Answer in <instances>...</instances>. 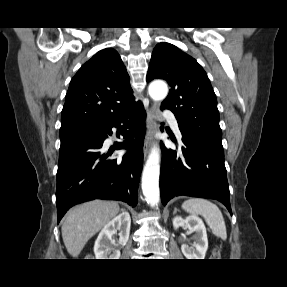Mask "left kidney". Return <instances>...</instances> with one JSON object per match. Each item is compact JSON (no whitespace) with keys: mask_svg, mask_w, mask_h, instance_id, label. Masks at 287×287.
<instances>
[{"mask_svg":"<svg viewBox=\"0 0 287 287\" xmlns=\"http://www.w3.org/2000/svg\"><path fill=\"white\" fill-rule=\"evenodd\" d=\"M182 226H186L190 233H195L194 244L192 246L182 244V253L187 259H204L208 249V238L203 221L197 216H188L185 219L181 216L174 217V229Z\"/></svg>","mask_w":287,"mask_h":287,"instance_id":"left-kidney-1","label":"left kidney"}]
</instances>
